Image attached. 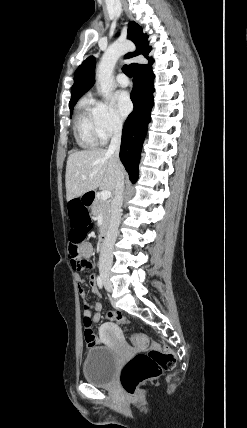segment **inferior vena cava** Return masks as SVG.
<instances>
[{
	"label": "inferior vena cava",
	"instance_id": "obj_1",
	"mask_svg": "<svg viewBox=\"0 0 247 428\" xmlns=\"http://www.w3.org/2000/svg\"><path fill=\"white\" fill-rule=\"evenodd\" d=\"M122 124L117 122L113 126V136L107 150L108 154L113 155L117 160V167L120 165L119 151L121 144ZM124 175L119 171L115 186V197L112 201L111 219L106 237L101 247L99 268H110L113 262V247L118 235V228L121 219V207L123 204Z\"/></svg>",
	"mask_w": 247,
	"mask_h": 428
}]
</instances>
